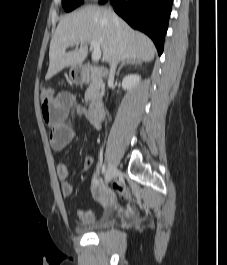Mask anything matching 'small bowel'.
<instances>
[{
	"label": "small bowel",
	"mask_w": 227,
	"mask_h": 265,
	"mask_svg": "<svg viewBox=\"0 0 227 265\" xmlns=\"http://www.w3.org/2000/svg\"><path fill=\"white\" fill-rule=\"evenodd\" d=\"M72 104H77V99H74V96H69L68 91H63L62 94L54 98L51 102H41L42 117L50 128V144L56 151L62 150L74 139V130L67 122L69 109ZM76 113L88 119L98 132L101 131L99 121L85 107L77 105ZM91 164L92 158L87 157L84 162V168H89ZM56 172L60 181L62 195L64 197H70L73 193V188L68 181L69 168L67 164L64 162L59 163L56 167ZM91 192L94 200L106 208L109 203V197H106L102 192L101 179L98 172L92 177ZM77 215L83 224H93L97 220L95 214L89 210L80 209Z\"/></svg>",
	"instance_id": "1"
}]
</instances>
